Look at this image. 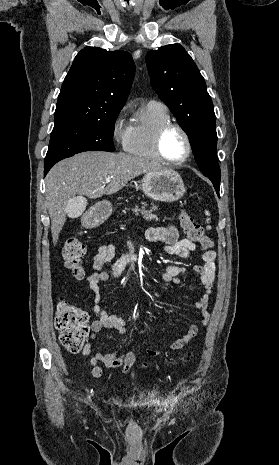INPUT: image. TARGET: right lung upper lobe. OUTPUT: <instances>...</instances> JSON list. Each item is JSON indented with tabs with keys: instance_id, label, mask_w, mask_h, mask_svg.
Masks as SVG:
<instances>
[{
	"instance_id": "1",
	"label": "right lung upper lobe",
	"mask_w": 279,
	"mask_h": 465,
	"mask_svg": "<svg viewBox=\"0 0 279 465\" xmlns=\"http://www.w3.org/2000/svg\"><path fill=\"white\" fill-rule=\"evenodd\" d=\"M128 52L85 47L75 57L58 96L55 123L99 119L122 109L134 76Z\"/></svg>"
}]
</instances>
